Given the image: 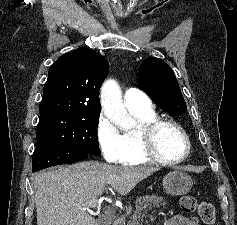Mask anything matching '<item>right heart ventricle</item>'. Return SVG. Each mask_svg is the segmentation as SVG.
<instances>
[{
	"label": "right heart ventricle",
	"instance_id": "e07e8e85",
	"mask_svg": "<svg viewBox=\"0 0 237 225\" xmlns=\"http://www.w3.org/2000/svg\"><path fill=\"white\" fill-rule=\"evenodd\" d=\"M130 111L139 121V127L142 124L157 119V115L152 107L148 110L130 109ZM138 128L124 133V138L128 146L127 155L121 162L124 165H139L149 162V160L143 155L141 151V147L137 136Z\"/></svg>",
	"mask_w": 237,
	"mask_h": 225
}]
</instances>
